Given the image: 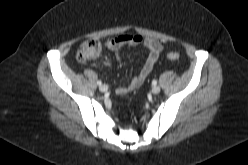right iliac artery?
I'll list each match as a JSON object with an SVG mask.
<instances>
[{
  "mask_svg": "<svg viewBox=\"0 0 248 165\" xmlns=\"http://www.w3.org/2000/svg\"><path fill=\"white\" fill-rule=\"evenodd\" d=\"M97 84H98L99 86H101V85H102V82L99 80V81H97Z\"/></svg>",
  "mask_w": 248,
  "mask_h": 165,
  "instance_id": "82829eb1",
  "label": "right iliac artery"
}]
</instances>
